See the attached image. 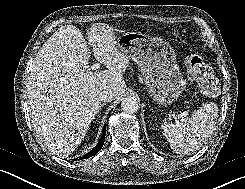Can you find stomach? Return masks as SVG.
<instances>
[{
	"label": "stomach",
	"instance_id": "1",
	"mask_svg": "<svg viewBox=\"0 0 245 189\" xmlns=\"http://www.w3.org/2000/svg\"><path fill=\"white\" fill-rule=\"evenodd\" d=\"M116 46L137 63L147 91L157 103L167 105L181 96L186 82L175 51L167 41L141 32H127L117 38Z\"/></svg>",
	"mask_w": 245,
	"mask_h": 189
}]
</instances>
